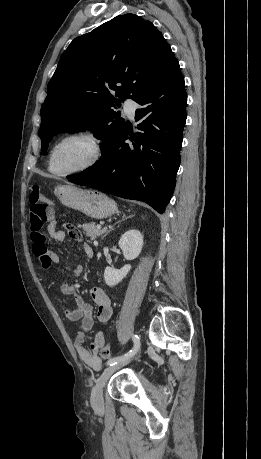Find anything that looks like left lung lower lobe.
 Segmentation results:
<instances>
[{"instance_id": "left-lung-lower-lobe-1", "label": "left lung lower lobe", "mask_w": 261, "mask_h": 459, "mask_svg": "<svg viewBox=\"0 0 261 459\" xmlns=\"http://www.w3.org/2000/svg\"><path fill=\"white\" fill-rule=\"evenodd\" d=\"M136 102L142 106L135 113L139 131L125 127L104 158L67 178L78 185L144 201L163 213L175 188L186 122L187 95L179 62ZM126 139L133 142L126 144Z\"/></svg>"}]
</instances>
